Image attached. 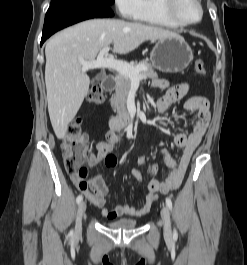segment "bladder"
Returning <instances> with one entry per match:
<instances>
[{"mask_svg":"<svg viewBox=\"0 0 247 265\" xmlns=\"http://www.w3.org/2000/svg\"><path fill=\"white\" fill-rule=\"evenodd\" d=\"M139 222L134 219H118L108 222L106 225L110 229L131 230L138 226Z\"/></svg>","mask_w":247,"mask_h":265,"instance_id":"31cf9c89","label":"bladder"}]
</instances>
